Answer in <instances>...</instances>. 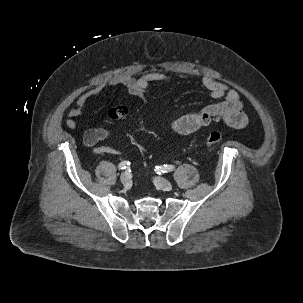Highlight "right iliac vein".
Returning <instances> with one entry per match:
<instances>
[{"label": "right iliac vein", "mask_w": 303, "mask_h": 303, "mask_svg": "<svg viewBox=\"0 0 303 303\" xmlns=\"http://www.w3.org/2000/svg\"><path fill=\"white\" fill-rule=\"evenodd\" d=\"M120 181H121V183H122L124 186H129L130 183H131L130 176H129L127 173H123V174L120 176Z\"/></svg>", "instance_id": "obj_1"}]
</instances>
